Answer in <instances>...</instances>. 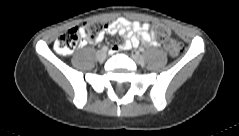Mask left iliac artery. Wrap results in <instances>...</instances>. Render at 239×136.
Wrapping results in <instances>:
<instances>
[{"label":"left iliac artery","mask_w":239,"mask_h":136,"mask_svg":"<svg viewBox=\"0 0 239 136\" xmlns=\"http://www.w3.org/2000/svg\"><path fill=\"white\" fill-rule=\"evenodd\" d=\"M139 50H140L141 52H144V48H139Z\"/></svg>","instance_id":"left-iliac-artery-1"}]
</instances>
